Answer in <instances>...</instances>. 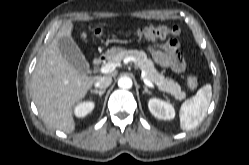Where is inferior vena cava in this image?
<instances>
[{"label":"inferior vena cava","instance_id":"obj_1","mask_svg":"<svg viewBox=\"0 0 249 165\" xmlns=\"http://www.w3.org/2000/svg\"><path fill=\"white\" fill-rule=\"evenodd\" d=\"M112 82V77L102 76L95 81V87L99 89H106Z\"/></svg>","mask_w":249,"mask_h":165}]
</instances>
